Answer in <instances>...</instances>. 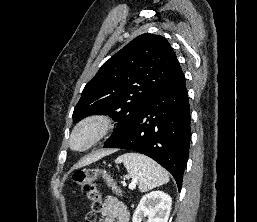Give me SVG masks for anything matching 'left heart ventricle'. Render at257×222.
<instances>
[{
    "mask_svg": "<svg viewBox=\"0 0 257 222\" xmlns=\"http://www.w3.org/2000/svg\"><path fill=\"white\" fill-rule=\"evenodd\" d=\"M95 135V130L92 127H85L79 130L74 139H73V145L76 148H83L87 144H89L93 137Z\"/></svg>",
    "mask_w": 257,
    "mask_h": 222,
    "instance_id": "b2bd125f",
    "label": "left heart ventricle"
}]
</instances>
